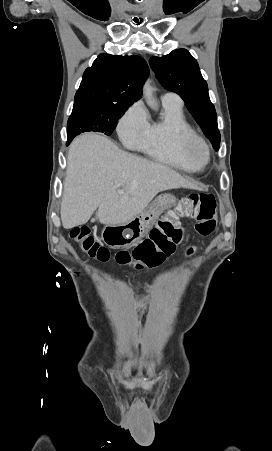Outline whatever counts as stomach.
Wrapping results in <instances>:
<instances>
[{
	"label": "stomach",
	"instance_id": "0dacf381",
	"mask_svg": "<svg viewBox=\"0 0 272 451\" xmlns=\"http://www.w3.org/2000/svg\"><path fill=\"white\" fill-rule=\"evenodd\" d=\"M175 204V196H172V194H160V196L155 198L154 202L149 204L148 208L141 210L140 214H137L128 222L116 224V226H105L101 233V239L106 245L116 247V249L134 245L136 241H140L142 237L149 233L159 216L165 210L173 208Z\"/></svg>",
	"mask_w": 272,
	"mask_h": 451
}]
</instances>
